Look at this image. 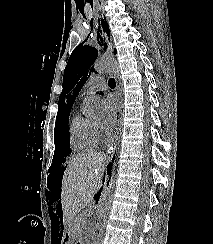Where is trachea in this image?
<instances>
[{"label":"trachea","instance_id":"trachea-1","mask_svg":"<svg viewBox=\"0 0 213 244\" xmlns=\"http://www.w3.org/2000/svg\"><path fill=\"white\" fill-rule=\"evenodd\" d=\"M109 87L114 88L116 86L115 80L111 78L108 82Z\"/></svg>","mask_w":213,"mask_h":244}]
</instances>
